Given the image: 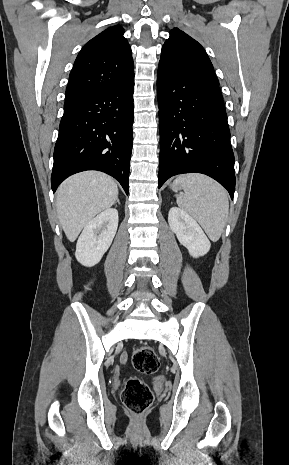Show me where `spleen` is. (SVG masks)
Segmentation results:
<instances>
[{
    "label": "spleen",
    "mask_w": 289,
    "mask_h": 465,
    "mask_svg": "<svg viewBox=\"0 0 289 465\" xmlns=\"http://www.w3.org/2000/svg\"><path fill=\"white\" fill-rule=\"evenodd\" d=\"M173 184L175 192L177 187L183 188L185 192L176 195L178 206L199 222L210 240L218 241L229 213L225 189L212 178L200 173L180 175Z\"/></svg>",
    "instance_id": "obj_1"
}]
</instances>
